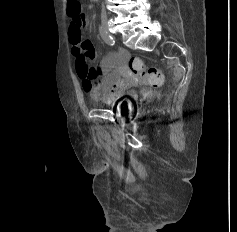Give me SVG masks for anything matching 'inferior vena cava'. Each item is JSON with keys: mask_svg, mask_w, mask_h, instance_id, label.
Returning a JSON list of instances; mask_svg holds the SVG:
<instances>
[{"mask_svg": "<svg viewBox=\"0 0 237 232\" xmlns=\"http://www.w3.org/2000/svg\"><path fill=\"white\" fill-rule=\"evenodd\" d=\"M101 18H102V20L107 19L106 10H105L104 5L102 6Z\"/></svg>", "mask_w": 237, "mask_h": 232, "instance_id": "602c4592", "label": "inferior vena cava"}]
</instances>
